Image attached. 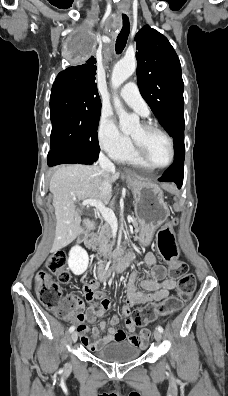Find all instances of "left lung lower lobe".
<instances>
[{
    "mask_svg": "<svg viewBox=\"0 0 228 396\" xmlns=\"http://www.w3.org/2000/svg\"><path fill=\"white\" fill-rule=\"evenodd\" d=\"M174 151L175 157L173 164L166 170L159 181H171L175 182L180 188L183 182V172H184V156H185V146H184V130L177 132L174 136Z\"/></svg>",
    "mask_w": 228,
    "mask_h": 396,
    "instance_id": "1",
    "label": "left lung lower lobe"
}]
</instances>
